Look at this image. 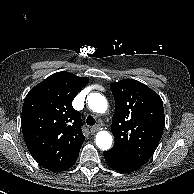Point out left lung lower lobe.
Segmentation results:
<instances>
[{"instance_id": "0a47b994", "label": "left lung lower lobe", "mask_w": 194, "mask_h": 194, "mask_svg": "<svg viewBox=\"0 0 194 194\" xmlns=\"http://www.w3.org/2000/svg\"><path fill=\"white\" fill-rule=\"evenodd\" d=\"M104 158L112 169L121 173H130L141 167V165L125 160L109 151L104 152Z\"/></svg>"}]
</instances>
